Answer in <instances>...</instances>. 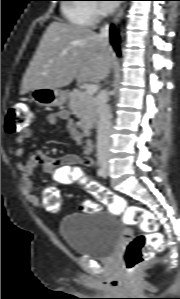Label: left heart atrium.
Returning a JSON list of instances; mask_svg holds the SVG:
<instances>
[{
    "instance_id": "1",
    "label": "left heart atrium",
    "mask_w": 180,
    "mask_h": 299,
    "mask_svg": "<svg viewBox=\"0 0 180 299\" xmlns=\"http://www.w3.org/2000/svg\"><path fill=\"white\" fill-rule=\"evenodd\" d=\"M114 8H115V4L112 3L104 4V9L108 12L112 11Z\"/></svg>"
}]
</instances>
